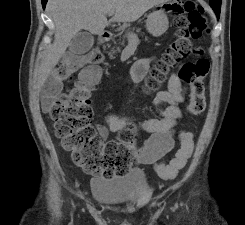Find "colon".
<instances>
[{
	"label": "colon",
	"instance_id": "1",
	"mask_svg": "<svg viewBox=\"0 0 245 225\" xmlns=\"http://www.w3.org/2000/svg\"><path fill=\"white\" fill-rule=\"evenodd\" d=\"M173 11L177 14L174 20L177 28L176 39L152 68L143 86L149 91L160 89L170 69L193 52L189 37L201 39L206 34L202 11L195 3L188 1L173 7ZM84 57L98 63L102 54L83 53L66 59L46 83L50 93H57V100L49 113L55 124V135L63 147L71 152L74 163L86 172L105 177L123 175L132 164V154L139 142L138 131L136 127L128 126L119 132L118 141H109L102 146L91 124L92 109L87 84L91 74L85 72L76 82L67 84ZM208 70L209 62L202 58L187 62L182 67L180 77L190 85L187 109L192 115L199 114L205 107L203 79ZM192 150L193 140L186 133L181 138L180 148L174 158L167 164L157 165L159 175L164 179L175 178L186 165Z\"/></svg>",
	"mask_w": 245,
	"mask_h": 225
}]
</instances>
